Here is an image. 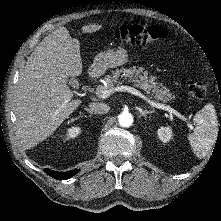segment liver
Listing matches in <instances>:
<instances>
[{"instance_id":"liver-1","label":"liver","mask_w":221,"mask_h":221,"mask_svg":"<svg viewBox=\"0 0 221 221\" xmlns=\"http://www.w3.org/2000/svg\"><path fill=\"white\" fill-rule=\"evenodd\" d=\"M102 25L81 28L93 33ZM80 44L61 26L46 36L20 72L14 105L17 132L26 148L52 134L82 103L73 99L67 86L69 77L82 73Z\"/></svg>"}]
</instances>
